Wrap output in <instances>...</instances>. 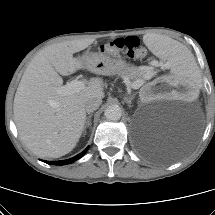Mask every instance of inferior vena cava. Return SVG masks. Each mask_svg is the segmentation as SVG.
Wrapping results in <instances>:
<instances>
[{
	"instance_id": "1",
	"label": "inferior vena cava",
	"mask_w": 215,
	"mask_h": 215,
	"mask_svg": "<svg viewBox=\"0 0 215 215\" xmlns=\"http://www.w3.org/2000/svg\"><path fill=\"white\" fill-rule=\"evenodd\" d=\"M101 103H102L101 99H99V98H91V99L86 101L85 110L88 113L93 112V111H95V110H97L99 108Z\"/></svg>"
}]
</instances>
